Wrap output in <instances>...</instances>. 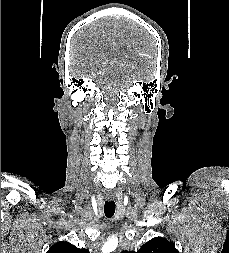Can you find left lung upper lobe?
<instances>
[{
    "instance_id": "5c2ea615",
    "label": "left lung upper lobe",
    "mask_w": 229,
    "mask_h": 253,
    "mask_svg": "<svg viewBox=\"0 0 229 253\" xmlns=\"http://www.w3.org/2000/svg\"><path fill=\"white\" fill-rule=\"evenodd\" d=\"M122 253H179V251L166 239L155 237L143 244L137 252L125 250Z\"/></svg>"
}]
</instances>
